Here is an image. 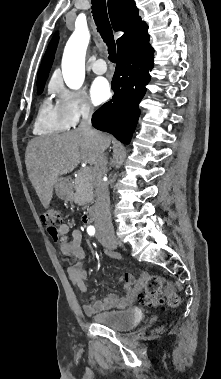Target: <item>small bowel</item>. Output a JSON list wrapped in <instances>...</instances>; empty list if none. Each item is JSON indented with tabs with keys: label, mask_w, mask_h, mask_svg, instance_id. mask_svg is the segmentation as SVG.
Returning a JSON list of instances; mask_svg holds the SVG:
<instances>
[{
	"label": "small bowel",
	"mask_w": 221,
	"mask_h": 379,
	"mask_svg": "<svg viewBox=\"0 0 221 379\" xmlns=\"http://www.w3.org/2000/svg\"><path fill=\"white\" fill-rule=\"evenodd\" d=\"M54 241L60 242V250L63 255L73 257L77 260L75 264L66 267L67 276L72 283L81 293L87 291L88 274L82 268L81 261L85 258V252L81 246L82 233L77 228H71L67 223H61L55 234L49 233ZM71 234V237H69ZM146 274L143 273L140 278L133 277L130 273L123 274L118 284H123L126 289V294L122 297L119 295L108 292L102 299H90L83 305V310L87 315H92L98 311L111 310V309H124L132 305L140 296L144 288ZM113 285L112 288H115Z\"/></svg>",
	"instance_id": "1"
}]
</instances>
